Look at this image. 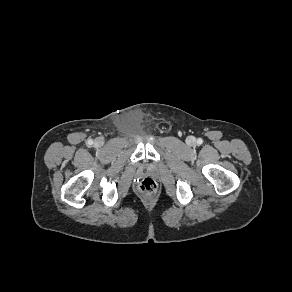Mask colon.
Returning a JSON list of instances; mask_svg holds the SVG:
<instances>
[{
  "instance_id": "1",
  "label": "colon",
  "mask_w": 292,
  "mask_h": 292,
  "mask_svg": "<svg viewBox=\"0 0 292 292\" xmlns=\"http://www.w3.org/2000/svg\"><path fill=\"white\" fill-rule=\"evenodd\" d=\"M157 190V183L152 178H145L140 183V191L145 195H153Z\"/></svg>"
}]
</instances>
